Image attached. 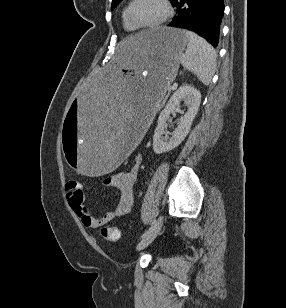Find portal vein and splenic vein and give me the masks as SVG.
I'll list each match as a JSON object with an SVG mask.
<instances>
[{
    "label": "portal vein and splenic vein",
    "mask_w": 286,
    "mask_h": 308,
    "mask_svg": "<svg viewBox=\"0 0 286 308\" xmlns=\"http://www.w3.org/2000/svg\"><path fill=\"white\" fill-rule=\"evenodd\" d=\"M176 86H177V84L174 83V84L171 86V89H175Z\"/></svg>",
    "instance_id": "1"
}]
</instances>
